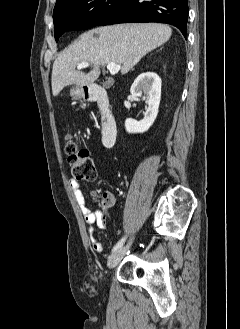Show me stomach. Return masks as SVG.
<instances>
[{"label": "stomach", "mask_w": 240, "mask_h": 329, "mask_svg": "<svg viewBox=\"0 0 240 329\" xmlns=\"http://www.w3.org/2000/svg\"><path fill=\"white\" fill-rule=\"evenodd\" d=\"M70 95L72 99L78 100L85 97L84 88L75 86L70 89Z\"/></svg>", "instance_id": "obj_1"}]
</instances>
